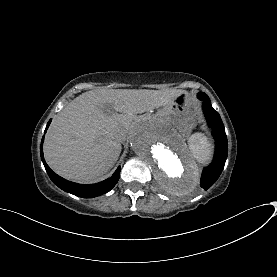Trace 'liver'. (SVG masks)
<instances>
[{
	"label": "liver",
	"instance_id": "obj_1",
	"mask_svg": "<svg viewBox=\"0 0 277 277\" xmlns=\"http://www.w3.org/2000/svg\"><path fill=\"white\" fill-rule=\"evenodd\" d=\"M182 93L128 89L85 92L55 117L45 138L46 161L67 179L91 181L117 161L134 115L161 106L171 108Z\"/></svg>",
	"mask_w": 277,
	"mask_h": 277
}]
</instances>
